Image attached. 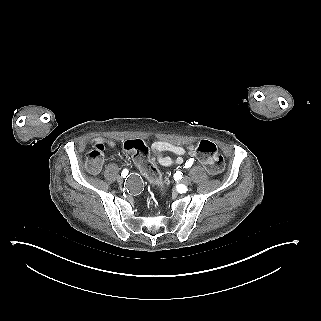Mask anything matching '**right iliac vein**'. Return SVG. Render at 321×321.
Masks as SVG:
<instances>
[{
	"instance_id": "63e3f726",
	"label": "right iliac vein",
	"mask_w": 321,
	"mask_h": 321,
	"mask_svg": "<svg viewBox=\"0 0 321 321\" xmlns=\"http://www.w3.org/2000/svg\"><path fill=\"white\" fill-rule=\"evenodd\" d=\"M116 180H117V182H118L119 184H122V183H123V177L120 176V175H118V176L116 177Z\"/></svg>"
}]
</instances>
